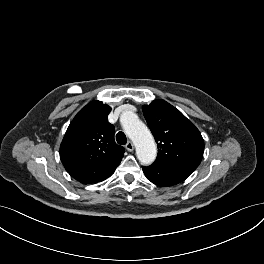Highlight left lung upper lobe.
<instances>
[{
	"label": "left lung upper lobe",
	"instance_id": "1",
	"mask_svg": "<svg viewBox=\"0 0 264 264\" xmlns=\"http://www.w3.org/2000/svg\"><path fill=\"white\" fill-rule=\"evenodd\" d=\"M143 114L158 146L156 161L195 170L204 141L199 130L178 109L164 100L143 106Z\"/></svg>",
	"mask_w": 264,
	"mask_h": 264
}]
</instances>
